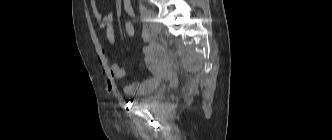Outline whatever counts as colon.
Wrapping results in <instances>:
<instances>
[{
  "label": "colon",
  "mask_w": 332,
  "mask_h": 140,
  "mask_svg": "<svg viewBox=\"0 0 332 140\" xmlns=\"http://www.w3.org/2000/svg\"><path fill=\"white\" fill-rule=\"evenodd\" d=\"M124 31L128 36H132L135 32L134 24L131 21H126L124 23Z\"/></svg>",
  "instance_id": "5ec220e1"
}]
</instances>
